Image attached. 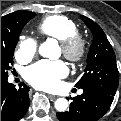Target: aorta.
I'll list each match as a JSON object with an SVG mask.
<instances>
[{
    "instance_id": "762f6f07",
    "label": "aorta",
    "mask_w": 121,
    "mask_h": 121,
    "mask_svg": "<svg viewBox=\"0 0 121 121\" xmlns=\"http://www.w3.org/2000/svg\"><path fill=\"white\" fill-rule=\"evenodd\" d=\"M59 47L55 39H48L39 46V54L45 58H58ZM55 108L59 112H64L68 108V101L65 98H59L55 101Z\"/></svg>"
}]
</instances>
